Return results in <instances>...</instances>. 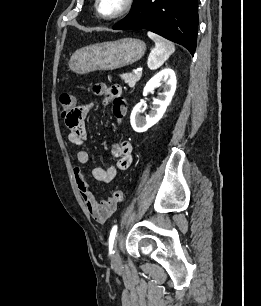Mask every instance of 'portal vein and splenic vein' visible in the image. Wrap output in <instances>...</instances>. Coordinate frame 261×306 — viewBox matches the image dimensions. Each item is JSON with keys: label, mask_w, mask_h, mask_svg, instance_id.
Returning <instances> with one entry per match:
<instances>
[{"label": "portal vein and splenic vein", "mask_w": 261, "mask_h": 306, "mask_svg": "<svg viewBox=\"0 0 261 306\" xmlns=\"http://www.w3.org/2000/svg\"><path fill=\"white\" fill-rule=\"evenodd\" d=\"M141 70L140 69H135L134 70V73H138V72H140Z\"/></svg>", "instance_id": "18ae733b"}]
</instances>
